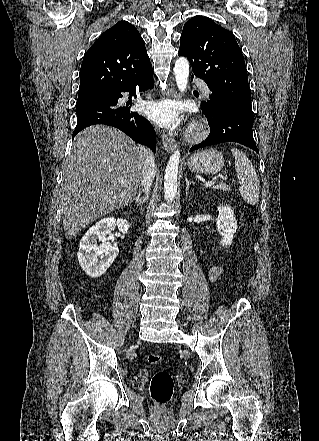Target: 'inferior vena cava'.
<instances>
[{
    "instance_id": "obj_1",
    "label": "inferior vena cava",
    "mask_w": 319,
    "mask_h": 441,
    "mask_svg": "<svg viewBox=\"0 0 319 441\" xmlns=\"http://www.w3.org/2000/svg\"><path fill=\"white\" fill-rule=\"evenodd\" d=\"M155 175V162L154 156L150 150L146 151L145 159L143 162V172L140 186L143 187V192L148 197L150 187L152 185L153 179Z\"/></svg>"
}]
</instances>
